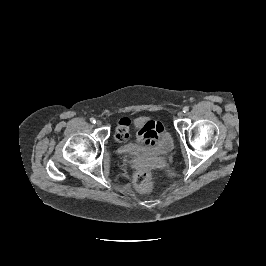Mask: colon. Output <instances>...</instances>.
Returning <instances> with one entry per match:
<instances>
[{"mask_svg":"<svg viewBox=\"0 0 266 266\" xmlns=\"http://www.w3.org/2000/svg\"><path fill=\"white\" fill-rule=\"evenodd\" d=\"M134 186L141 192H149L152 189V175L150 170L141 169L134 176Z\"/></svg>","mask_w":266,"mask_h":266,"instance_id":"obj_1","label":"colon"}]
</instances>
